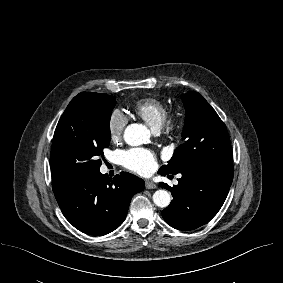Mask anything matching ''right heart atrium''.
<instances>
[{"mask_svg":"<svg viewBox=\"0 0 283 283\" xmlns=\"http://www.w3.org/2000/svg\"><path fill=\"white\" fill-rule=\"evenodd\" d=\"M127 125V117L119 110H114L108 120V131L112 141H119Z\"/></svg>","mask_w":283,"mask_h":283,"instance_id":"right-heart-atrium-1","label":"right heart atrium"}]
</instances>
